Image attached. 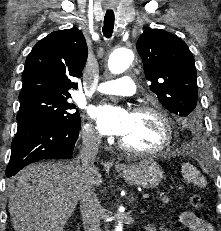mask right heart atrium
<instances>
[{
    "label": "right heart atrium",
    "mask_w": 221,
    "mask_h": 231,
    "mask_svg": "<svg viewBox=\"0 0 221 231\" xmlns=\"http://www.w3.org/2000/svg\"><path fill=\"white\" fill-rule=\"evenodd\" d=\"M83 137L87 142L97 143L99 141V135L91 125L84 126Z\"/></svg>",
    "instance_id": "1"
}]
</instances>
